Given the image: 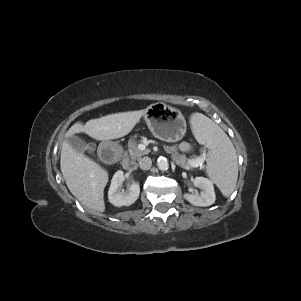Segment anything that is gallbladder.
<instances>
[{
    "instance_id": "obj_1",
    "label": "gallbladder",
    "mask_w": 301,
    "mask_h": 301,
    "mask_svg": "<svg viewBox=\"0 0 301 301\" xmlns=\"http://www.w3.org/2000/svg\"><path fill=\"white\" fill-rule=\"evenodd\" d=\"M70 146L78 153H84L87 149V144L78 136L71 135L66 138Z\"/></svg>"
}]
</instances>
